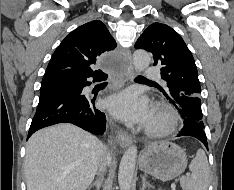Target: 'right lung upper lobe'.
<instances>
[{"label": "right lung upper lobe", "mask_w": 234, "mask_h": 190, "mask_svg": "<svg viewBox=\"0 0 234 190\" xmlns=\"http://www.w3.org/2000/svg\"><path fill=\"white\" fill-rule=\"evenodd\" d=\"M116 42L100 20L88 22L68 34L52 55L43 80L93 71L98 59L114 50Z\"/></svg>", "instance_id": "1"}]
</instances>
